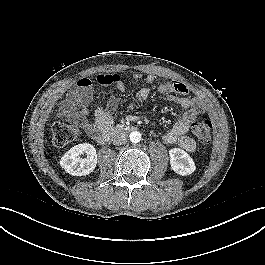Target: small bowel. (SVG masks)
Here are the masks:
<instances>
[{"mask_svg": "<svg viewBox=\"0 0 265 265\" xmlns=\"http://www.w3.org/2000/svg\"><path fill=\"white\" fill-rule=\"evenodd\" d=\"M134 79L139 80L142 74L134 73ZM147 84L151 85L155 81L152 74L145 77ZM102 84H113L120 92L125 90V84L121 77L117 74L103 76L100 80ZM160 94L168 97L171 101L177 103L185 109L181 118L172 125L163 135L164 142L168 144H178L187 152H194L196 144L187 133L190 124L201 114L204 113V105L200 99L187 95L188 90L183 83L180 82H164L158 86ZM150 95V89L143 87L139 89L135 95L136 103L145 102ZM92 99V86L88 78H80L76 85L67 93L65 99L61 103L60 112L70 122L82 127L85 132L92 136L103 131L113 124L110 111L118 104V98L112 95L106 107H100L95 110L94 122L88 121L90 114L89 104ZM130 107H133L131 105Z\"/></svg>", "mask_w": 265, "mask_h": 265, "instance_id": "1", "label": "small bowel"}]
</instances>
